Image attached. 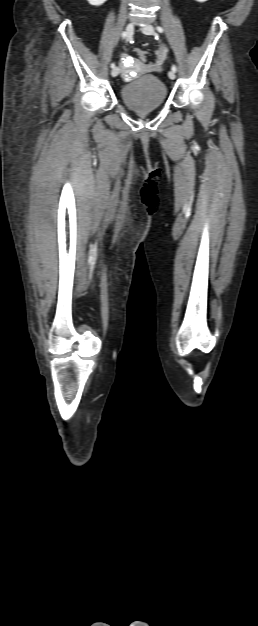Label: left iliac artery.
Returning <instances> with one entry per match:
<instances>
[{
	"label": "left iliac artery",
	"mask_w": 258,
	"mask_h": 626,
	"mask_svg": "<svg viewBox=\"0 0 258 626\" xmlns=\"http://www.w3.org/2000/svg\"><path fill=\"white\" fill-rule=\"evenodd\" d=\"M156 29H157V31H158V32H160V33H163V32H164V29H163L161 26H157V27H156ZM171 69H172V71H173V72H176V71H177V67H176L175 65H172V68H171Z\"/></svg>",
	"instance_id": "obj_1"
}]
</instances>
